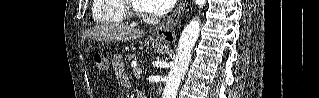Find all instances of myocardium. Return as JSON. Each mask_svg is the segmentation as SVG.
I'll use <instances>...</instances> for the list:
<instances>
[{
    "instance_id": "obj_1",
    "label": "myocardium",
    "mask_w": 319,
    "mask_h": 98,
    "mask_svg": "<svg viewBox=\"0 0 319 98\" xmlns=\"http://www.w3.org/2000/svg\"><path fill=\"white\" fill-rule=\"evenodd\" d=\"M124 8L127 17L140 18L144 16V11L133 0H124Z\"/></svg>"
}]
</instances>
